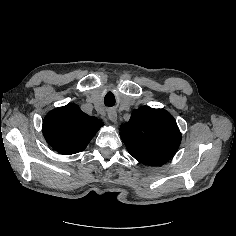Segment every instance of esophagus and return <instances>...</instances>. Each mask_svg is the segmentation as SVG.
Instances as JSON below:
<instances>
[{"instance_id": "34e87169", "label": "esophagus", "mask_w": 236, "mask_h": 236, "mask_svg": "<svg viewBox=\"0 0 236 236\" xmlns=\"http://www.w3.org/2000/svg\"><path fill=\"white\" fill-rule=\"evenodd\" d=\"M108 118L113 123H116L117 122V112L115 110H110L108 112Z\"/></svg>"}]
</instances>
